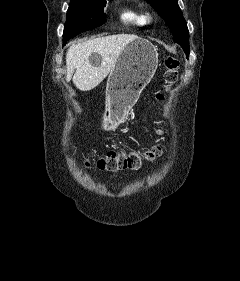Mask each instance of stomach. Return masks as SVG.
Returning a JSON list of instances; mask_svg holds the SVG:
<instances>
[{
	"label": "stomach",
	"mask_w": 240,
	"mask_h": 281,
	"mask_svg": "<svg viewBox=\"0 0 240 281\" xmlns=\"http://www.w3.org/2000/svg\"><path fill=\"white\" fill-rule=\"evenodd\" d=\"M157 65V49L150 41L138 37L126 45L108 77L104 129L113 128L126 116L151 81Z\"/></svg>",
	"instance_id": "stomach-1"
}]
</instances>
